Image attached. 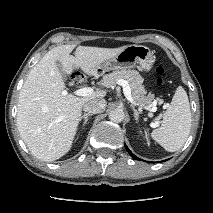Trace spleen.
Instances as JSON below:
<instances>
[{
    "label": "spleen",
    "instance_id": "3e777b00",
    "mask_svg": "<svg viewBox=\"0 0 213 213\" xmlns=\"http://www.w3.org/2000/svg\"><path fill=\"white\" fill-rule=\"evenodd\" d=\"M191 121L188 96L180 86L176 89L171 104L163 114L161 126L152 131L151 137L166 151H177L189 136Z\"/></svg>",
    "mask_w": 213,
    "mask_h": 213
}]
</instances>
